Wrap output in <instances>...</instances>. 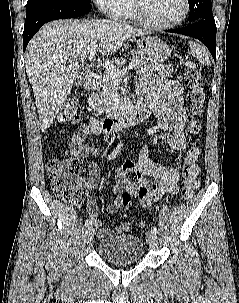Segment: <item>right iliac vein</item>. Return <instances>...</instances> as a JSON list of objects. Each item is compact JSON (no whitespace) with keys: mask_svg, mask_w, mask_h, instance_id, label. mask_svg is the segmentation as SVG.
<instances>
[{"mask_svg":"<svg viewBox=\"0 0 239 303\" xmlns=\"http://www.w3.org/2000/svg\"><path fill=\"white\" fill-rule=\"evenodd\" d=\"M94 235H95V229L92 226L88 227L85 230L84 242L89 243L93 239Z\"/></svg>","mask_w":239,"mask_h":303,"instance_id":"63e3f726","label":"right iliac vein"}]
</instances>
